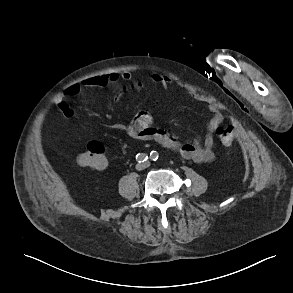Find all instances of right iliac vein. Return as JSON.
Segmentation results:
<instances>
[{"label":"right iliac vein","instance_id":"1","mask_svg":"<svg viewBox=\"0 0 293 293\" xmlns=\"http://www.w3.org/2000/svg\"><path fill=\"white\" fill-rule=\"evenodd\" d=\"M138 167H139V168H141V167H142V165H139Z\"/></svg>","mask_w":293,"mask_h":293}]
</instances>
